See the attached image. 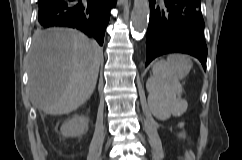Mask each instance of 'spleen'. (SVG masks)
Returning <instances> with one entry per match:
<instances>
[{
  "label": "spleen",
  "mask_w": 242,
  "mask_h": 160,
  "mask_svg": "<svg viewBox=\"0 0 242 160\" xmlns=\"http://www.w3.org/2000/svg\"><path fill=\"white\" fill-rule=\"evenodd\" d=\"M185 57L170 55L167 60L155 63L152 69L153 76L147 83L149 92L157 96V103L171 112L176 111L175 106L178 103L176 94L181 90L179 80L184 77L180 74V64Z\"/></svg>",
  "instance_id": "spleen-1"
}]
</instances>
